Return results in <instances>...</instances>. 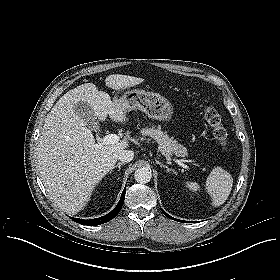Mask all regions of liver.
<instances>
[{
	"instance_id": "1",
	"label": "liver",
	"mask_w": 280,
	"mask_h": 280,
	"mask_svg": "<svg viewBox=\"0 0 280 280\" xmlns=\"http://www.w3.org/2000/svg\"><path fill=\"white\" fill-rule=\"evenodd\" d=\"M142 82V78L120 74L109 75L105 79L106 86L114 90ZM78 102L90 104L95 117L101 121H105L107 116L114 122L128 120L127 105L117 97L111 100L93 83L68 91L47 115L39 137L37 167L48 196L68 214L77 213L86 205L96 184L129 145L125 138L115 144L97 147L91 130L74 111Z\"/></svg>"
}]
</instances>
